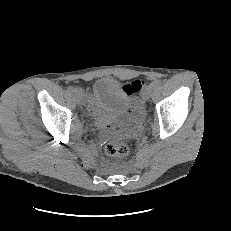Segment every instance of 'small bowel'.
Returning <instances> with one entry per match:
<instances>
[{
	"mask_svg": "<svg viewBox=\"0 0 231 231\" xmlns=\"http://www.w3.org/2000/svg\"><path fill=\"white\" fill-rule=\"evenodd\" d=\"M88 106L91 114L95 118V124L101 130V134L103 137L119 134V131L114 126L115 119L111 116L104 114L98 104L92 98H89ZM141 119V115L137 116V123H140Z\"/></svg>",
	"mask_w": 231,
	"mask_h": 231,
	"instance_id": "1",
	"label": "small bowel"
}]
</instances>
